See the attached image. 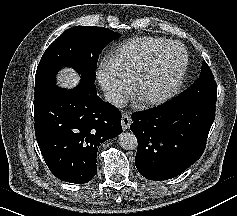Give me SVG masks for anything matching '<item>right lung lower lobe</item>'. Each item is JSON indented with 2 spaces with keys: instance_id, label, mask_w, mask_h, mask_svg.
<instances>
[{
  "instance_id": "1",
  "label": "right lung lower lobe",
  "mask_w": 237,
  "mask_h": 216,
  "mask_svg": "<svg viewBox=\"0 0 237 216\" xmlns=\"http://www.w3.org/2000/svg\"><path fill=\"white\" fill-rule=\"evenodd\" d=\"M36 139L58 179L82 184L96 174L99 145L122 133L121 114L102 101L94 83L81 80L73 90L54 87L34 100Z\"/></svg>"
}]
</instances>
